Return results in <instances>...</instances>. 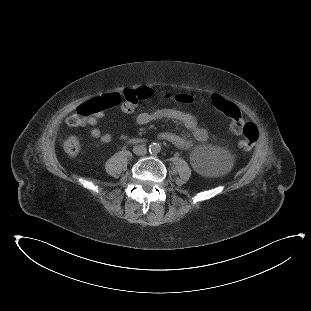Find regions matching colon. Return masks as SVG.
Here are the masks:
<instances>
[{
    "label": "colon",
    "mask_w": 311,
    "mask_h": 311,
    "mask_svg": "<svg viewBox=\"0 0 311 311\" xmlns=\"http://www.w3.org/2000/svg\"><path fill=\"white\" fill-rule=\"evenodd\" d=\"M152 95V88L144 86L136 90H121L119 93L113 92L110 94H101L97 99H89L78 110L70 114V125L80 127L89 123L92 118L101 110L106 111L110 108L117 109L122 107L126 112L135 111L140 102L148 100ZM176 101L181 103H188L191 101L189 95H178ZM212 103L219 107L221 111L232 119L230 124V132L236 134L238 125L243 116H245L235 105L222 95L217 94L212 98ZM257 125L250 120L248 125L242 129L243 138L239 141V147L243 150H250L253 148L257 138ZM63 150L71 157H76L81 150V139L79 136H70L62 143Z\"/></svg>",
    "instance_id": "obj_1"
}]
</instances>
